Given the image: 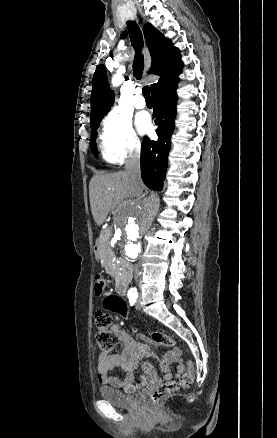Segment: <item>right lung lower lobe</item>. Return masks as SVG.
I'll use <instances>...</instances> for the list:
<instances>
[{"instance_id":"98d812e1","label":"right lung lower lobe","mask_w":277,"mask_h":438,"mask_svg":"<svg viewBox=\"0 0 277 438\" xmlns=\"http://www.w3.org/2000/svg\"><path fill=\"white\" fill-rule=\"evenodd\" d=\"M178 74L161 82L151 91L154 103L153 117L158 126L156 130L158 140L154 141L146 137L142 142L141 175L145 185L152 190L161 191L165 179L176 116Z\"/></svg>"}]
</instances>
